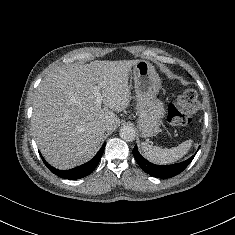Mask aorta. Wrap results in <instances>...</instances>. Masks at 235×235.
<instances>
[{
    "label": "aorta",
    "instance_id": "1",
    "mask_svg": "<svg viewBox=\"0 0 235 235\" xmlns=\"http://www.w3.org/2000/svg\"><path fill=\"white\" fill-rule=\"evenodd\" d=\"M119 135L123 140L130 142L135 139L136 132H135L134 128L131 126H123L120 129Z\"/></svg>",
    "mask_w": 235,
    "mask_h": 235
}]
</instances>
